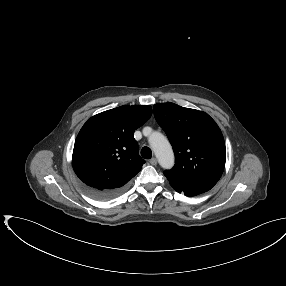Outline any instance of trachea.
Instances as JSON below:
<instances>
[{
	"label": "trachea",
	"instance_id": "3493384b",
	"mask_svg": "<svg viewBox=\"0 0 286 286\" xmlns=\"http://www.w3.org/2000/svg\"><path fill=\"white\" fill-rule=\"evenodd\" d=\"M141 155L144 159H151L152 151L149 147H143L141 150Z\"/></svg>",
	"mask_w": 286,
	"mask_h": 286
}]
</instances>
